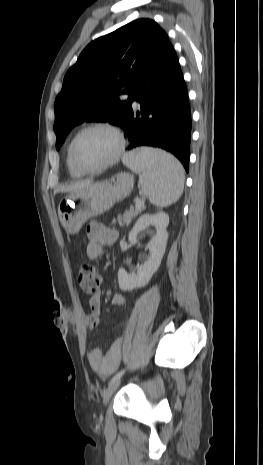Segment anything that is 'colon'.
<instances>
[{
	"label": "colon",
	"mask_w": 263,
	"mask_h": 465,
	"mask_svg": "<svg viewBox=\"0 0 263 465\" xmlns=\"http://www.w3.org/2000/svg\"><path fill=\"white\" fill-rule=\"evenodd\" d=\"M78 283L86 296L96 295L101 285V275L98 269L89 264L82 265L78 271ZM86 324L90 328H97L100 320L95 316H88Z\"/></svg>",
	"instance_id": "obj_1"
}]
</instances>
